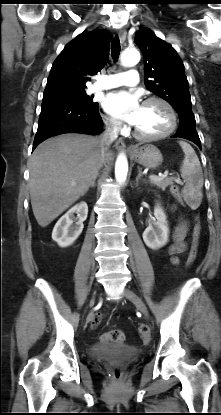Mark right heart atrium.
<instances>
[{
  "mask_svg": "<svg viewBox=\"0 0 221 415\" xmlns=\"http://www.w3.org/2000/svg\"><path fill=\"white\" fill-rule=\"evenodd\" d=\"M104 122H105L107 130L113 134L119 133L122 129L120 122L117 121L116 119L105 117Z\"/></svg>",
  "mask_w": 221,
  "mask_h": 415,
  "instance_id": "1",
  "label": "right heart atrium"
}]
</instances>
